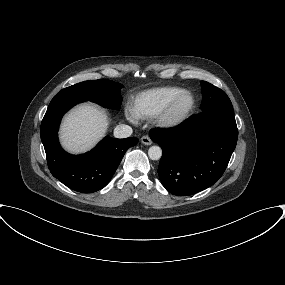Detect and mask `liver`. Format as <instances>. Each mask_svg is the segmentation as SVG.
<instances>
[{"label":"liver","mask_w":285,"mask_h":285,"mask_svg":"<svg viewBox=\"0 0 285 285\" xmlns=\"http://www.w3.org/2000/svg\"><path fill=\"white\" fill-rule=\"evenodd\" d=\"M109 125L106 113L93 104H81L64 118L60 139L63 147L72 153L91 149L105 134Z\"/></svg>","instance_id":"obj_1"}]
</instances>
